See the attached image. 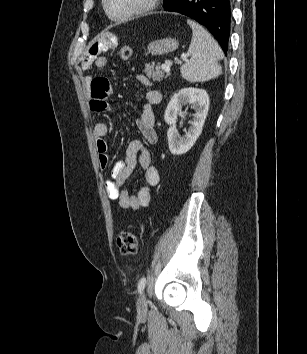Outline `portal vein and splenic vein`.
<instances>
[{
	"label": "portal vein and splenic vein",
	"instance_id": "portal-vein-and-splenic-vein-1",
	"mask_svg": "<svg viewBox=\"0 0 307 354\" xmlns=\"http://www.w3.org/2000/svg\"><path fill=\"white\" fill-rule=\"evenodd\" d=\"M183 60H186L187 56H182L181 57ZM172 66V61L168 60L165 62V64H163V69L165 72L169 73L170 72V68Z\"/></svg>",
	"mask_w": 307,
	"mask_h": 354
}]
</instances>
